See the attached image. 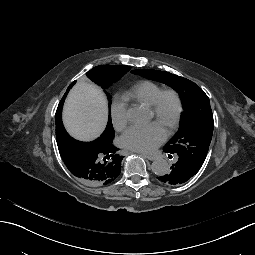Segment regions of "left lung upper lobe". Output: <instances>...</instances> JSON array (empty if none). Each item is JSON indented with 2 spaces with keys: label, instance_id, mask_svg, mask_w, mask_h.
<instances>
[{
  "label": "left lung upper lobe",
  "instance_id": "1",
  "mask_svg": "<svg viewBox=\"0 0 255 255\" xmlns=\"http://www.w3.org/2000/svg\"><path fill=\"white\" fill-rule=\"evenodd\" d=\"M132 73L165 83L179 93L184 106L180 128L163 151L192 163L199 170L206 158L214 129L208 96L194 82L169 72L137 69ZM171 155L168 156L171 158Z\"/></svg>",
  "mask_w": 255,
  "mask_h": 255
}]
</instances>
